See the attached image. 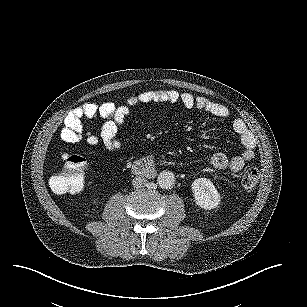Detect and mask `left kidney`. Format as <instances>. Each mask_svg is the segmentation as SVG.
Masks as SVG:
<instances>
[{
  "label": "left kidney",
  "mask_w": 307,
  "mask_h": 307,
  "mask_svg": "<svg viewBox=\"0 0 307 307\" xmlns=\"http://www.w3.org/2000/svg\"><path fill=\"white\" fill-rule=\"evenodd\" d=\"M192 188L198 205L206 209L215 208L220 201V195L215 189L213 183L206 178H198Z\"/></svg>",
  "instance_id": "5707ae66"
}]
</instances>
